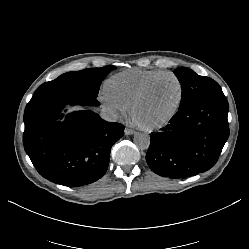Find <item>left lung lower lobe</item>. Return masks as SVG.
<instances>
[{
  "mask_svg": "<svg viewBox=\"0 0 249 249\" xmlns=\"http://www.w3.org/2000/svg\"><path fill=\"white\" fill-rule=\"evenodd\" d=\"M224 94L209 95L179 108L170 124L151 134L146 161L156 174L187 178L217 162L229 136Z\"/></svg>",
  "mask_w": 249,
  "mask_h": 249,
  "instance_id": "obj_1",
  "label": "left lung lower lobe"
}]
</instances>
